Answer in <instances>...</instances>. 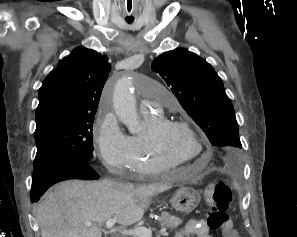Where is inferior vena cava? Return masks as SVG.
<instances>
[{
	"label": "inferior vena cava",
	"instance_id": "inferior-vena-cava-1",
	"mask_svg": "<svg viewBox=\"0 0 297 237\" xmlns=\"http://www.w3.org/2000/svg\"><path fill=\"white\" fill-rule=\"evenodd\" d=\"M122 185H123V186H129L130 184H128V183L126 184V183H125V184H122Z\"/></svg>",
	"mask_w": 297,
	"mask_h": 237
}]
</instances>
